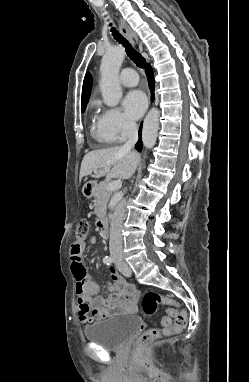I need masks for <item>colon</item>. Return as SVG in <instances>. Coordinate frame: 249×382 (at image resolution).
Returning a JSON list of instances; mask_svg holds the SVG:
<instances>
[{
	"instance_id": "1",
	"label": "colon",
	"mask_w": 249,
	"mask_h": 382,
	"mask_svg": "<svg viewBox=\"0 0 249 382\" xmlns=\"http://www.w3.org/2000/svg\"><path fill=\"white\" fill-rule=\"evenodd\" d=\"M89 233V224L86 220H81L76 229V239L79 242L84 241ZM177 305L172 299L164 297L155 291H148L144 294L142 300V308L147 316H152L159 305ZM167 317L162 320L160 328H152L145 331L137 340V351L142 354V349L152 342L156 341L162 335H171L182 330L187 324V314L184 310L169 307L166 310ZM170 317L174 318L171 322Z\"/></svg>"
}]
</instances>
